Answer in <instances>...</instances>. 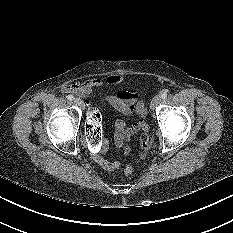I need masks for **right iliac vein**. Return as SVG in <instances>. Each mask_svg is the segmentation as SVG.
Here are the masks:
<instances>
[{
    "mask_svg": "<svg viewBox=\"0 0 233 233\" xmlns=\"http://www.w3.org/2000/svg\"><path fill=\"white\" fill-rule=\"evenodd\" d=\"M74 103L77 104L80 107H83V101L79 98L74 99Z\"/></svg>",
    "mask_w": 233,
    "mask_h": 233,
    "instance_id": "1",
    "label": "right iliac vein"
}]
</instances>
